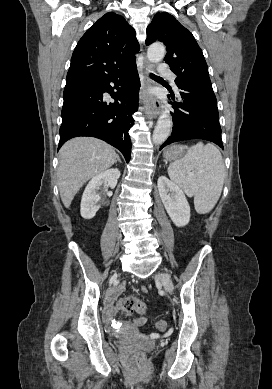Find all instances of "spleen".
Listing matches in <instances>:
<instances>
[{"instance_id":"spleen-1","label":"spleen","mask_w":272,"mask_h":389,"mask_svg":"<svg viewBox=\"0 0 272 389\" xmlns=\"http://www.w3.org/2000/svg\"><path fill=\"white\" fill-rule=\"evenodd\" d=\"M170 179L181 187L199 214L216 205L224 184L225 166L220 151L213 144L197 143L187 154L168 167Z\"/></svg>"}]
</instances>
